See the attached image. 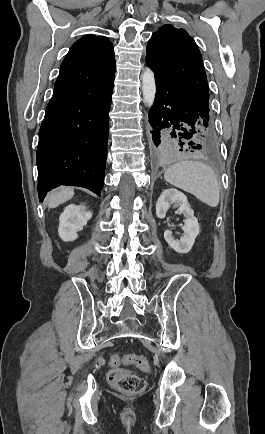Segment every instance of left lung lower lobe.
Here are the masks:
<instances>
[{
    "label": "left lung lower lobe",
    "instance_id": "obj_1",
    "mask_svg": "<svg viewBox=\"0 0 265 434\" xmlns=\"http://www.w3.org/2000/svg\"><path fill=\"white\" fill-rule=\"evenodd\" d=\"M154 71L156 100L149 111L152 146L157 154L168 155L178 148L201 150L211 154L218 149V137L210 111L197 106L167 76ZM177 138V140H173Z\"/></svg>",
    "mask_w": 265,
    "mask_h": 434
}]
</instances>
